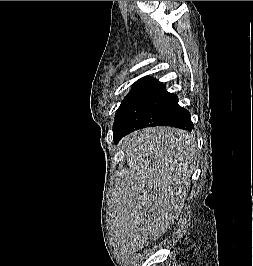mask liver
Returning <instances> with one entry per match:
<instances>
[{
	"label": "liver",
	"instance_id": "liver-1",
	"mask_svg": "<svg viewBox=\"0 0 253 266\" xmlns=\"http://www.w3.org/2000/svg\"><path fill=\"white\" fill-rule=\"evenodd\" d=\"M128 170L115 195L116 240L132 254L178 218L197 160L192 133L171 127L134 132L121 141Z\"/></svg>",
	"mask_w": 253,
	"mask_h": 266
}]
</instances>
